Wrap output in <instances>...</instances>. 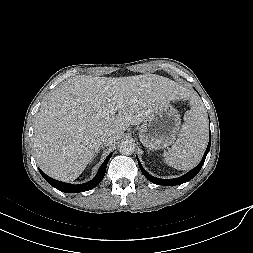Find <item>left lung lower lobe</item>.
I'll use <instances>...</instances> for the list:
<instances>
[{
  "label": "left lung lower lobe",
  "instance_id": "0a47b994",
  "mask_svg": "<svg viewBox=\"0 0 253 253\" xmlns=\"http://www.w3.org/2000/svg\"><path fill=\"white\" fill-rule=\"evenodd\" d=\"M210 145H211V133H210V140H209V143H208V146H207V149L204 153V156L201 160V162L199 163V165L197 167H195L193 170L189 171L187 174H185L184 176H181L179 178H175V179H159V178H156V177H153L151 176L150 174H148L145 169L142 167L139 159L137 158L138 160V164H139V168L141 170V172L144 174V176L151 182H153L154 184H157V185H166V186H173V185H179V184H182V183H185L187 181H190L192 178H194L197 173L200 171L205 159H206V156L210 150Z\"/></svg>",
  "mask_w": 253,
  "mask_h": 253
}]
</instances>
